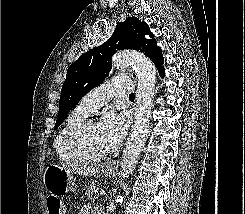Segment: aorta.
<instances>
[{
  "label": "aorta",
  "mask_w": 245,
  "mask_h": 214,
  "mask_svg": "<svg viewBox=\"0 0 245 214\" xmlns=\"http://www.w3.org/2000/svg\"><path fill=\"white\" fill-rule=\"evenodd\" d=\"M116 68L132 66L138 78L134 124L126 142L121 160V175L125 178L134 171L141 150L143 149L150 127L156 84V68L148 57L139 52H118L113 56ZM117 196V201H122Z\"/></svg>",
  "instance_id": "762f6f07"
}]
</instances>
